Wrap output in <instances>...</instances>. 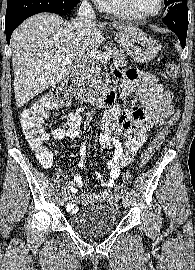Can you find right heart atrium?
<instances>
[{
  "label": "right heart atrium",
  "mask_w": 195,
  "mask_h": 270,
  "mask_svg": "<svg viewBox=\"0 0 195 270\" xmlns=\"http://www.w3.org/2000/svg\"><path fill=\"white\" fill-rule=\"evenodd\" d=\"M91 1H93V2L96 3V4H99V6H100V4H101V2H102V0H91Z\"/></svg>",
  "instance_id": "d8ad5b80"
}]
</instances>
